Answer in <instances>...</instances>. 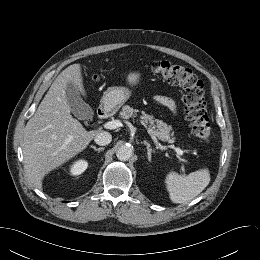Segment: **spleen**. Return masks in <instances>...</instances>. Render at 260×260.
Listing matches in <instances>:
<instances>
[{"label": "spleen", "instance_id": "3e777b00", "mask_svg": "<svg viewBox=\"0 0 260 260\" xmlns=\"http://www.w3.org/2000/svg\"><path fill=\"white\" fill-rule=\"evenodd\" d=\"M209 182L210 173L207 168L197 170L187 176L170 171L165 179L170 199L174 203L191 201L208 186Z\"/></svg>", "mask_w": 260, "mask_h": 260}]
</instances>
